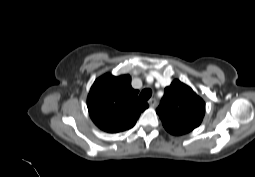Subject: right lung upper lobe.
<instances>
[{
  "mask_svg": "<svg viewBox=\"0 0 255 177\" xmlns=\"http://www.w3.org/2000/svg\"><path fill=\"white\" fill-rule=\"evenodd\" d=\"M138 90L131 86L129 75L113 76L106 73L92 85L87 106L95 125L108 133L132 128L141 112L148 108L138 99Z\"/></svg>",
  "mask_w": 255,
  "mask_h": 177,
  "instance_id": "right-lung-upper-lobe-1",
  "label": "right lung upper lobe"
}]
</instances>
